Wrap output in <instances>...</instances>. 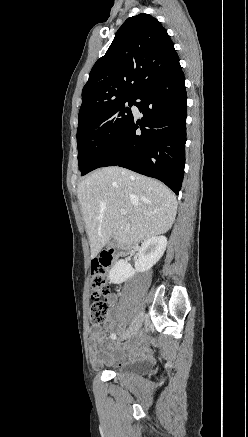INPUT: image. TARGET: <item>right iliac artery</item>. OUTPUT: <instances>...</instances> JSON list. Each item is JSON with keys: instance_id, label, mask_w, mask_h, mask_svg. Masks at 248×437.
Here are the masks:
<instances>
[{"instance_id": "right-iliac-artery-1", "label": "right iliac artery", "mask_w": 248, "mask_h": 437, "mask_svg": "<svg viewBox=\"0 0 248 437\" xmlns=\"http://www.w3.org/2000/svg\"><path fill=\"white\" fill-rule=\"evenodd\" d=\"M111 338H112V339H116V334H112V335H111Z\"/></svg>"}]
</instances>
